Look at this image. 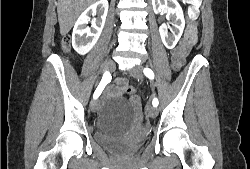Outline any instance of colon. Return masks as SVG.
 I'll return each mask as SVG.
<instances>
[{
    "label": "colon",
    "mask_w": 250,
    "mask_h": 169,
    "mask_svg": "<svg viewBox=\"0 0 250 169\" xmlns=\"http://www.w3.org/2000/svg\"><path fill=\"white\" fill-rule=\"evenodd\" d=\"M186 9L188 8L187 6L185 7ZM185 15H190V10H185ZM187 23L188 25H191L187 32H186V40L188 43H194L196 41L197 38V30L195 27L197 25V20H194V16H189V18H187ZM63 38H61V48L62 51L67 52L70 49V43H72V38H70V34H63L62 36ZM170 69L173 70V72H180V64L176 61V60H172L171 64H170ZM134 90H124V95H133V97H131V102L134 103L133 105V111H134V120L136 121V125L138 127H142L143 121L144 120V115L142 112V105H141V101L142 98L140 97V95H134Z\"/></svg>",
    "instance_id": "obj_1"
}]
</instances>
